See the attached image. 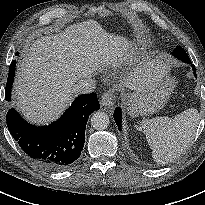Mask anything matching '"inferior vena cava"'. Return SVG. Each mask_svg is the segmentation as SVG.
Masks as SVG:
<instances>
[{
    "mask_svg": "<svg viewBox=\"0 0 205 205\" xmlns=\"http://www.w3.org/2000/svg\"><path fill=\"white\" fill-rule=\"evenodd\" d=\"M96 82L94 79L87 77L81 79L73 86V93L75 94H88L94 91Z\"/></svg>",
    "mask_w": 205,
    "mask_h": 205,
    "instance_id": "inferior-vena-cava-1",
    "label": "inferior vena cava"
}]
</instances>
